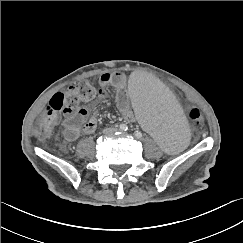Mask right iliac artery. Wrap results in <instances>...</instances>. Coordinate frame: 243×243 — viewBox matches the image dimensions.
Listing matches in <instances>:
<instances>
[{"label":"right iliac artery","mask_w":243,"mask_h":243,"mask_svg":"<svg viewBox=\"0 0 243 243\" xmlns=\"http://www.w3.org/2000/svg\"><path fill=\"white\" fill-rule=\"evenodd\" d=\"M120 129L122 130V131H126L127 129H128V127H127V125L126 124H120Z\"/></svg>","instance_id":"obj_1"}]
</instances>
